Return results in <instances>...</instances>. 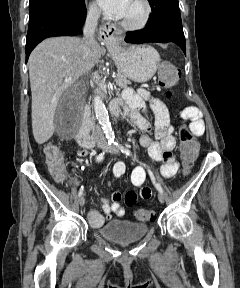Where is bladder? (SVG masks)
I'll return each instance as SVG.
<instances>
[{
  "label": "bladder",
  "mask_w": 240,
  "mask_h": 288,
  "mask_svg": "<svg viewBox=\"0 0 240 288\" xmlns=\"http://www.w3.org/2000/svg\"><path fill=\"white\" fill-rule=\"evenodd\" d=\"M149 228L146 224L130 220H112L98 229V233L107 240L125 243L146 236Z\"/></svg>",
  "instance_id": "31cf9c89"
}]
</instances>
